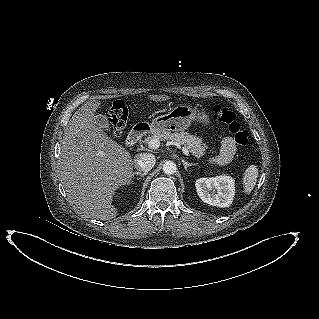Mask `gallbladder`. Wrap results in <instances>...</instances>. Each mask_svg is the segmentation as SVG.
Returning a JSON list of instances; mask_svg holds the SVG:
<instances>
[{"mask_svg":"<svg viewBox=\"0 0 319 319\" xmlns=\"http://www.w3.org/2000/svg\"><path fill=\"white\" fill-rule=\"evenodd\" d=\"M95 123L105 129V130H109L110 129V124H109V120L107 119L106 116L102 115V114H98L95 116Z\"/></svg>","mask_w":319,"mask_h":319,"instance_id":"1","label":"gallbladder"}]
</instances>
